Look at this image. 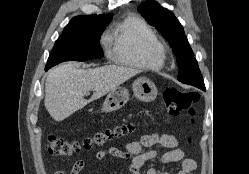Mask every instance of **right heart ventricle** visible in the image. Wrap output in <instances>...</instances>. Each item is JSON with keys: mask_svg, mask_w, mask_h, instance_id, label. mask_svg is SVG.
<instances>
[{"mask_svg": "<svg viewBox=\"0 0 249 174\" xmlns=\"http://www.w3.org/2000/svg\"><path fill=\"white\" fill-rule=\"evenodd\" d=\"M109 40L112 60L123 66L159 70L163 59L154 53L161 43L153 29L141 18L128 15L113 24Z\"/></svg>", "mask_w": 249, "mask_h": 174, "instance_id": "e07e8e85", "label": "right heart ventricle"}]
</instances>
